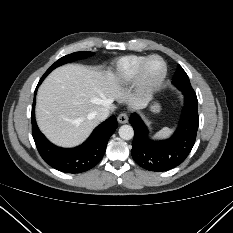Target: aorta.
<instances>
[{"label": "aorta", "mask_w": 233, "mask_h": 233, "mask_svg": "<svg viewBox=\"0 0 233 233\" xmlns=\"http://www.w3.org/2000/svg\"><path fill=\"white\" fill-rule=\"evenodd\" d=\"M119 136L124 140H130L134 136V130L130 125H123L119 128Z\"/></svg>", "instance_id": "762f6f07"}]
</instances>
